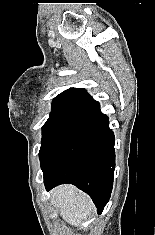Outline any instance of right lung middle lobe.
Segmentation results:
<instances>
[{"mask_svg":"<svg viewBox=\"0 0 155 235\" xmlns=\"http://www.w3.org/2000/svg\"><path fill=\"white\" fill-rule=\"evenodd\" d=\"M91 126L90 122L51 113L42 127L39 151L42 170L47 169L70 142Z\"/></svg>","mask_w":155,"mask_h":235,"instance_id":"dd1d6c3e","label":"right lung middle lobe"}]
</instances>
